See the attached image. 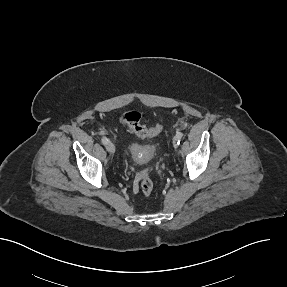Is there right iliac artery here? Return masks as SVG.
Masks as SVG:
<instances>
[{"instance_id":"82829eb1","label":"right iliac artery","mask_w":287,"mask_h":287,"mask_svg":"<svg viewBox=\"0 0 287 287\" xmlns=\"http://www.w3.org/2000/svg\"><path fill=\"white\" fill-rule=\"evenodd\" d=\"M101 142H102L104 145H106V144L109 142V140H108L106 137H103V138L101 139Z\"/></svg>"}]
</instances>
